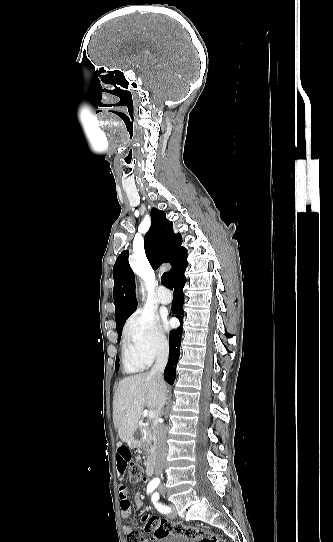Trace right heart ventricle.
Segmentation results:
<instances>
[{
  "instance_id": "obj_1",
  "label": "right heart ventricle",
  "mask_w": 333,
  "mask_h": 542,
  "mask_svg": "<svg viewBox=\"0 0 333 542\" xmlns=\"http://www.w3.org/2000/svg\"><path fill=\"white\" fill-rule=\"evenodd\" d=\"M122 358L125 368L130 372L143 371L149 367L152 358L145 354L139 347L124 343Z\"/></svg>"
}]
</instances>
